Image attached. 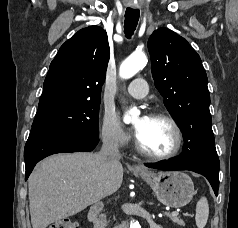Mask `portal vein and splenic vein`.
<instances>
[{"label": "portal vein and splenic vein", "mask_w": 238, "mask_h": 228, "mask_svg": "<svg viewBox=\"0 0 238 228\" xmlns=\"http://www.w3.org/2000/svg\"><path fill=\"white\" fill-rule=\"evenodd\" d=\"M168 214H170V215H172V216H177V215H178V212H176V211H173V212H171V213H168Z\"/></svg>", "instance_id": "18ae733b"}]
</instances>
